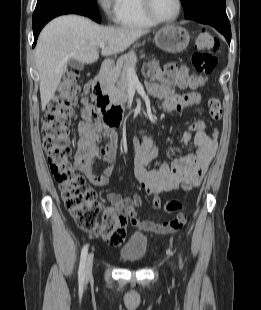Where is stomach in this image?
Here are the masks:
<instances>
[{
	"label": "stomach",
	"mask_w": 261,
	"mask_h": 310,
	"mask_svg": "<svg viewBox=\"0 0 261 310\" xmlns=\"http://www.w3.org/2000/svg\"><path fill=\"white\" fill-rule=\"evenodd\" d=\"M154 41L157 47L166 52L179 53L188 46L190 35L182 27L168 25L155 34Z\"/></svg>",
	"instance_id": "obj_1"
}]
</instances>
